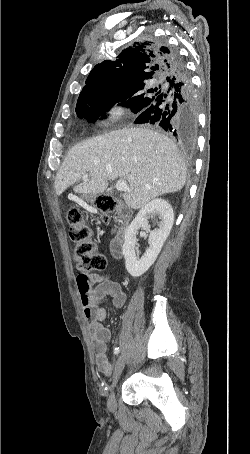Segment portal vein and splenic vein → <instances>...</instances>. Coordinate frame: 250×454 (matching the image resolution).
Returning <instances> with one entry per match:
<instances>
[{"label":"portal vein and splenic vein","instance_id":"1","mask_svg":"<svg viewBox=\"0 0 250 454\" xmlns=\"http://www.w3.org/2000/svg\"><path fill=\"white\" fill-rule=\"evenodd\" d=\"M82 178L84 180H87L88 179V175L87 174H83ZM115 188H116L117 191H129L130 190L128 185H127V182L125 180L117 181Z\"/></svg>","mask_w":250,"mask_h":454}]
</instances>
